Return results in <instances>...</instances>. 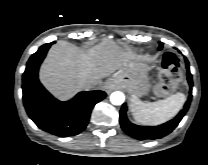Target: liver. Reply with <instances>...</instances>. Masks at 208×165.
I'll return each mask as SVG.
<instances>
[{
  "label": "liver",
  "mask_w": 208,
  "mask_h": 165,
  "mask_svg": "<svg viewBox=\"0 0 208 165\" xmlns=\"http://www.w3.org/2000/svg\"><path fill=\"white\" fill-rule=\"evenodd\" d=\"M130 59L113 41L107 40L89 49L59 41L49 50L39 77L52 94L66 100L86 89L89 82H97L102 87L101 79L122 72Z\"/></svg>",
  "instance_id": "1"
}]
</instances>
